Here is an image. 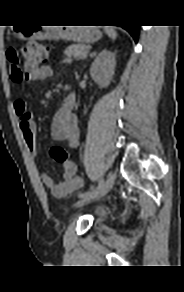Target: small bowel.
<instances>
[{
  "instance_id": "1",
  "label": "small bowel",
  "mask_w": 184,
  "mask_h": 292,
  "mask_svg": "<svg viewBox=\"0 0 184 292\" xmlns=\"http://www.w3.org/2000/svg\"><path fill=\"white\" fill-rule=\"evenodd\" d=\"M53 75L50 65H42L35 69L29 76V80H44ZM75 96L69 95L63 105L55 113L52 125L51 136L56 141H63L69 149H76L80 141V131L77 117L73 114L72 108ZM14 110L19 118L20 129L25 143L32 155L37 153V129L32 113L28 110L27 104L22 99L14 101ZM43 184L58 197L64 196L79 189L83 185L82 178L77 173V166L74 162L68 161L64 164V181L56 183L53 177L47 173L42 174Z\"/></svg>"
}]
</instances>
